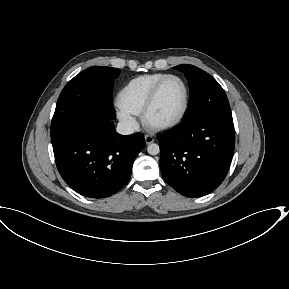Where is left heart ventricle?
<instances>
[{
  "label": "left heart ventricle",
  "instance_id": "b2bd125f",
  "mask_svg": "<svg viewBox=\"0 0 289 289\" xmlns=\"http://www.w3.org/2000/svg\"><path fill=\"white\" fill-rule=\"evenodd\" d=\"M185 92L182 83L170 79L164 83L150 112L153 123H165L175 119L184 104Z\"/></svg>",
  "mask_w": 289,
  "mask_h": 289
}]
</instances>
